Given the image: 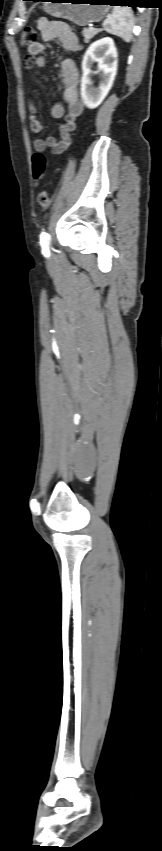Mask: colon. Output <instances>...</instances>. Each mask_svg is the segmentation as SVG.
<instances>
[{"instance_id": "obj_1", "label": "colon", "mask_w": 162, "mask_h": 851, "mask_svg": "<svg viewBox=\"0 0 162 851\" xmlns=\"http://www.w3.org/2000/svg\"><path fill=\"white\" fill-rule=\"evenodd\" d=\"M37 39H38L37 31L32 27H27V28L24 29V31L21 35L20 45L22 47L28 48L29 46L36 43ZM46 167H47L46 157L42 153L36 152L32 157V172H33V177H34L37 185L39 186V192L37 194V203H38L39 206H41L43 208L48 207L49 203H50V198H49L48 192L46 191V189L43 185V180H44L45 173H46Z\"/></svg>"}]
</instances>
